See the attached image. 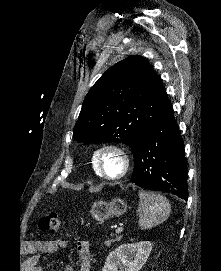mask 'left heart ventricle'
I'll return each instance as SVG.
<instances>
[{
    "label": "left heart ventricle",
    "mask_w": 221,
    "mask_h": 271,
    "mask_svg": "<svg viewBox=\"0 0 221 271\" xmlns=\"http://www.w3.org/2000/svg\"><path fill=\"white\" fill-rule=\"evenodd\" d=\"M107 156H113L114 160L106 161V166H104L105 177H121L120 169H123V166H114L118 153H107Z\"/></svg>",
    "instance_id": "obj_1"
}]
</instances>
